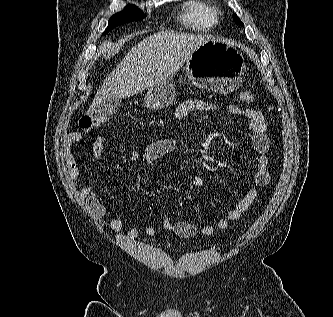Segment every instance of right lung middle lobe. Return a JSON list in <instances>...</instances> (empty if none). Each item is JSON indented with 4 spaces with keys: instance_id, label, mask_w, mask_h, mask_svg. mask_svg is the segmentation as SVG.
I'll return each mask as SVG.
<instances>
[{
    "instance_id": "right-lung-middle-lobe-1",
    "label": "right lung middle lobe",
    "mask_w": 333,
    "mask_h": 317,
    "mask_svg": "<svg viewBox=\"0 0 333 317\" xmlns=\"http://www.w3.org/2000/svg\"><path fill=\"white\" fill-rule=\"evenodd\" d=\"M144 17L145 15L142 13V11L139 8L133 5H127L122 12H119L110 18L108 22V27L106 28L104 33L109 32L118 25L135 20H140L143 19Z\"/></svg>"
}]
</instances>
